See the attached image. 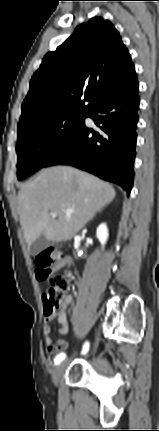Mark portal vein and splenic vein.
<instances>
[{
	"label": "portal vein and splenic vein",
	"instance_id": "18ae733b",
	"mask_svg": "<svg viewBox=\"0 0 159 431\" xmlns=\"http://www.w3.org/2000/svg\"><path fill=\"white\" fill-rule=\"evenodd\" d=\"M75 211L74 210H71V209H67V210H65V213L67 214V215H70V214H72V213H74ZM50 215H51V217L52 218H56L57 217V213L56 212H51L50 213Z\"/></svg>",
	"mask_w": 159,
	"mask_h": 431
}]
</instances>
